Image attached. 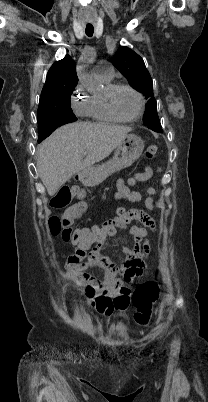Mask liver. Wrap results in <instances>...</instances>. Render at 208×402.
Listing matches in <instances>:
<instances>
[{
	"mask_svg": "<svg viewBox=\"0 0 208 402\" xmlns=\"http://www.w3.org/2000/svg\"><path fill=\"white\" fill-rule=\"evenodd\" d=\"M132 128L113 124H67L53 132L37 148L38 174L49 194L54 196L59 188L81 170L101 162L120 146ZM83 154L88 160L82 162Z\"/></svg>",
	"mask_w": 208,
	"mask_h": 402,
	"instance_id": "obj_1",
	"label": "liver"
}]
</instances>
